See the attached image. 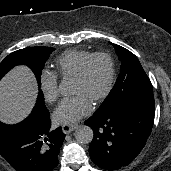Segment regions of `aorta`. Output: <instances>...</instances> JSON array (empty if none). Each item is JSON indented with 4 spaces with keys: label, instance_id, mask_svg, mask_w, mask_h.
<instances>
[{
    "label": "aorta",
    "instance_id": "obj_1",
    "mask_svg": "<svg viewBox=\"0 0 171 171\" xmlns=\"http://www.w3.org/2000/svg\"><path fill=\"white\" fill-rule=\"evenodd\" d=\"M59 90L64 95H68V94L72 93V89L70 88L69 84L64 81L60 83ZM74 135H75V139L77 140V142H79L81 144L90 143L94 137L92 128L89 126H86V125L79 126L75 130Z\"/></svg>",
    "mask_w": 171,
    "mask_h": 171
}]
</instances>
